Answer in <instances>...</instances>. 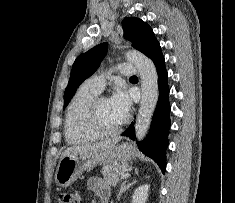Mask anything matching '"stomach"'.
I'll use <instances>...</instances> for the list:
<instances>
[{"label":"stomach","instance_id":"obj_1","mask_svg":"<svg viewBox=\"0 0 235 203\" xmlns=\"http://www.w3.org/2000/svg\"><path fill=\"white\" fill-rule=\"evenodd\" d=\"M132 147L127 143L91 152H80L60 159L55 181L61 187H68L85 171L97 164L109 165L125 163L133 156Z\"/></svg>","mask_w":235,"mask_h":203}]
</instances>
